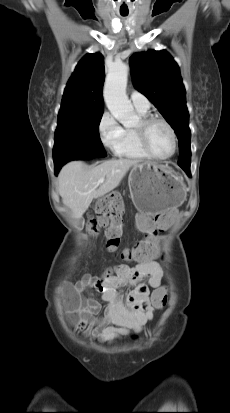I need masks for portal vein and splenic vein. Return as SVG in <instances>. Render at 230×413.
I'll use <instances>...</instances> for the list:
<instances>
[{
	"mask_svg": "<svg viewBox=\"0 0 230 413\" xmlns=\"http://www.w3.org/2000/svg\"><path fill=\"white\" fill-rule=\"evenodd\" d=\"M103 182H104V178L100 179V180L98 181V184H101V183H103Z\"/></svg>",
	"mask_w": 230,
	"mask_h": 413,
	"instance_id": "obj_1",
	"label": "portal vein and splenic vein"
}]
</instances>
